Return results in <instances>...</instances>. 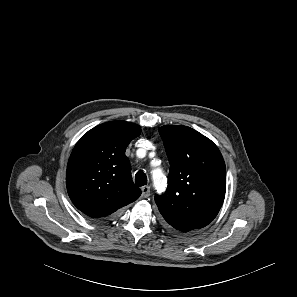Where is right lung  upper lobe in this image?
I'll use <instances>...</instances> for the list:
<instances>
[{
    "label": "right lung upper lobe",
    "instance_id": "cb5924a9",
    "mask_svg": "<svg viewBox=\"0 0 297 297\" xmlns=\"http://www.w3.org/2000/svg\"><path fill=\"white\" fill-rule=\"evenodd\" d=\"M140 133L136 124L112 121L94 127L78 141L68 161L66 186L80 211L104 218L139 198L125 151Z\"/></svg>",
    "mask_w": 297,
    "mask_h": 297
}]
</instances>
